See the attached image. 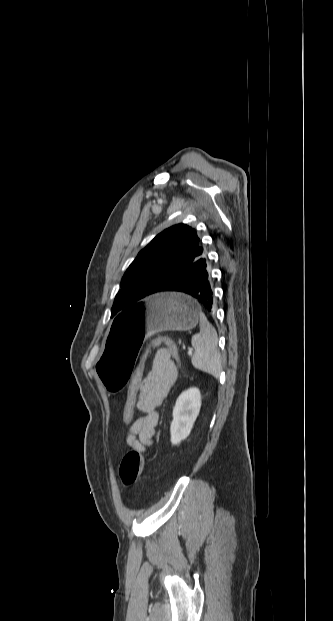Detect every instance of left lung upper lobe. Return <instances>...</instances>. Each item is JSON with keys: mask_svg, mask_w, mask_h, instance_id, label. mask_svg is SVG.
<instances>
[{"mask_svg": "<svg viewBox=\"0 0 333 621\" xmlns=\"http://www.w3.org/2000/svg\"><path fill=\"white\" fill-rule=\"evenodd\" d=\"M206 253L194 228L177 224L159 233L125 272L115 297L111 317L139 304L176 275L189 269Z\"/></svg>", "mask_w": 333, "mask_h": 621, "instance_id": "1", "label": "left lung upper lobe"}]
</instances>
